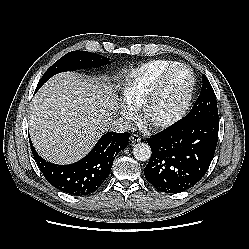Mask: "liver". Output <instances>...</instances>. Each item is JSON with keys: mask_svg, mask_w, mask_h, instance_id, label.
Instances as JSON below:
<instances>
[{"mask_svg": "<svg viewBox=\"0 0 249 249\" xmlns=\"http://www.w3.org/2000/svg\"><path fill=\"white\" fill-rule=\"evenodd\" d=\"M116 108L105 83L78 73L57 74L32 100L28 124L33 145L50 162H75L107 130Z\"/></svg>", "mask_w": 249, "mask_h": 249, "instance_id": "obj_1", "label": "liver"}]
</instances>
